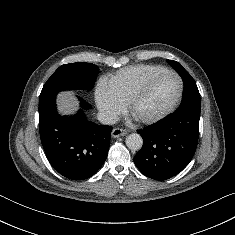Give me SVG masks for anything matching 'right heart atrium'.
Instances as JSON below:
<instances>
[{"mask_svg":"<svg viewBox=\"0 0 235 235\" xmlns=\"http://www.w3.org/2000/svg\"><path fill=\"white\" fill-rule=\"evenodd\" d=\"M95 102L98 109L109 120L115 119L122 112L123 106L116 100L104 84L95 90Z\"/></svg>","mask_w":235,"mask_h":235,"instance_id":"1","label":"right heart atrium"}]
</instances>
